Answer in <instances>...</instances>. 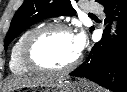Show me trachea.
<instances>
[{
  "instance_id": "3493384b",
  "label": "trachea",
  "mask_w": 127,
  "mask_h": 92,
  "mask_svg": "<svg viewBox=\"0 0 127 92\" xmlns=\"http://www.w3.org/2000/svg\"><path fill=\"white\" fill-rule=\"evenodd\" d=\"M89 16H95V15L90 13Z\"/></svg>"
}]
</instances>
